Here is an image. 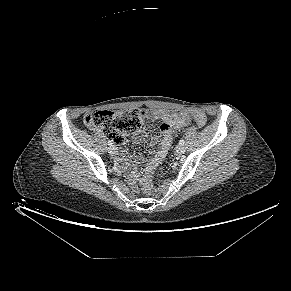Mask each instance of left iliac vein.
<instances>
[{
	"label": "left iliac vein",
	"instance_id": "obj_1",
	"mask_svg": "<svg viewBox=\"0 0 291 291\" xmlns=\"http://www.w3.org/2000/svg\"><path fill=\"white\" fill-rule=\"evenodd\" d=\"M176 152H177L178 154H183V153L185 152V147H184L183 145H178V146L176 147Z\"/></svg>",
	"mask_w": 291,
	"mask_h": 291
}]
</instances>
